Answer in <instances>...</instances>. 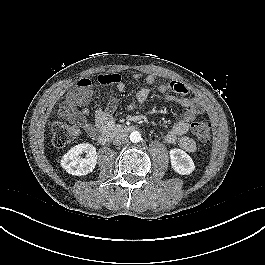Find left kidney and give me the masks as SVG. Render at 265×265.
I'll use <instances>...</instances> for the list:
<instances>
[{"instance_id": "5707ae66", "label": "left kidney", "mask_w": 265, "mask_h": 265, "mask_svg": "<svg viewBox=\"0 0 265 265\" xmlns=\"http://www.w3.org/2000/svg\"><path fill=\"white\" fill-rule=\"evenodd\" d=\"M171 166L175 172L181 175L191 174L195 170L192 158L183 150L174 148L170 152Z\"/></svg>"}]
</instances>
